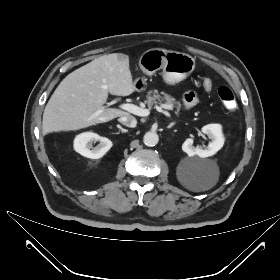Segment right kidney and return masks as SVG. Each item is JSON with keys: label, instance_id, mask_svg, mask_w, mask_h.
<instances>
[{"label": "right kidney", "instance_id": "right-kidney-1", "mask_svg": "<svg viewBox=\"0 0 280 280\" xmlns=\"http://www.w3.org/2000/svg\"><path fill=\"white\" fill-rule=\"evenodd\" d=\"M99 141L96 147H92V142ZM112 147V142L93 132H85L76 136L74 140V149L84 157L99 159L106 154Z\"/></svg>", "mask_w": 280, "mask_h": 280}]
</instances>
